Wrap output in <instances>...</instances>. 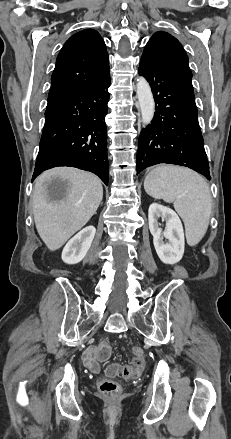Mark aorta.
I'll return each mask as SVG.
<instances>
[{"mask_svg":"<svg viewBox=\"0 0 231 439\" xmlns=\"http://www.w3.org/2000/svg\"><path fill=\"white\" fill-rule=\"evenodd\" d=\"M137 97L140 105L142 123L144 126H147L154 117L155 102L149 83L144 77L137 79Z\"/></svg>","mask_w":231,"mask_h":439,"instance_id":"1","label":"aorta"}]
</instances>
